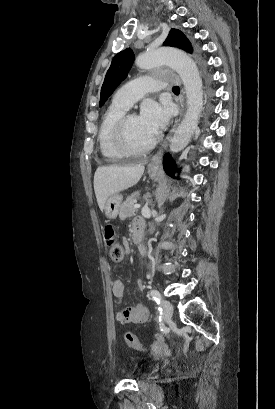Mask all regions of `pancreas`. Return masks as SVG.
<instances>
[{
  "label": "pancreas",
  "mask_w": 275,
  "mask_h": 409,
  "mask_svg": "<svg viewBox=\"0 0 275 409\" xmlns=\"http://www.w3.org/2000/svg\"><path fill=\"white\" fill-rule=\"evenodd\" d=\"M137 196H139V190H136V192H132L131 196H127L126 200L122 202V205L119 209V217L121 221H124L126 217H132V215H135L136 209H134V200H136Z\"/></svg>",
  "instance_id": "1"
}]
</instances>
